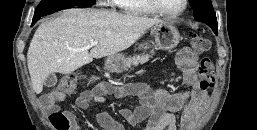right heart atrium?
<instances>
[{"instance_id": "1", "label": "right heart atrium", "mask_w": 257, "mask_h": 130, "mask_svg": "<svg viewBox=\"0 0 257 130\" xmlns=\"http://www.w3.org/2000/svg\"><path fill=\"white\" fill-rule=\"evenodd\" d=\"M107 2H104L105 4L111 3L112 0H106Z\"/></svg>"}]
</instances>
